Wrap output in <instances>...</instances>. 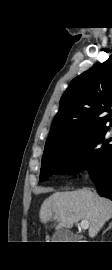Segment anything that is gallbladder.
I'll list each match as a JSON object with an SVG mask.
<instances>
[{
	"mask_svg": "<svg viewBox=\"0 0 112 270\" xmlns=\"http://www.w3.org/2000/svg\"><path fill=\"white\" fill-rule=\"evenodd\" d=\"M52 239L54 242H73L77 239V236L69 230L61 228L53 234Z\"/></svg>",
	"mask_w": 112,
	"mask_h": 270,
	"instance_id": "bac80fb5",
	"label": "gallbladder"
}]
</instances>
